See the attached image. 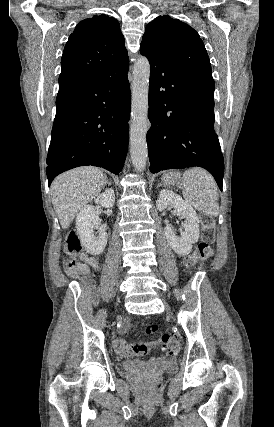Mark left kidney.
I'll return each mask as SVG.
<instances>
[{"instance_id": "obj_1", "label": "left kidney", "mask_w": 274, "mask_h": 427, "mask_svg": "<svg viewBox=\"0 0 274 427\" xmlns=\"http://www.w3.org/2000/svg\"><path fill=\"white\" fill-rule=\"evenodd\" d=\"M157 210H166V208H174L177 215H181L185 221L182 225L181 235H176L172 225L164 227L165 237L168 245L179 253V255H188L192 251V243L199 239V217L193 210L190 204L184 202L180 196L171 192V190H161L160 196L156 202Z\"/></svg>"}]
</instances>
